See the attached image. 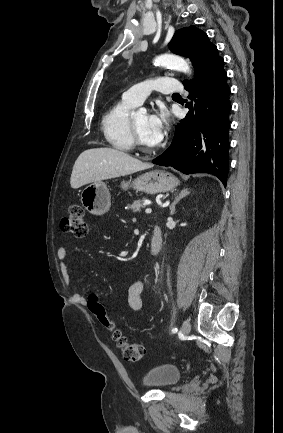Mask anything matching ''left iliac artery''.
Here are the masks:
<instances>
[{"mask_svg":"<svg viewBox=\"0 0 283 433\" xmlns=\"http://www.w3.org/2000/svg\"><path fill=\"white\" fill-rule=\"evenodd\" d=\"M171 331H172V333H175V332H177V328H173Z\"/></svg>","mask_w":283,"mask_h":433,"instance_id":"44dca946","label":"left iliac artery"}]
</instances>
